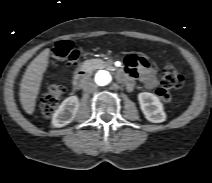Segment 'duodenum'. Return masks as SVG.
Here are the masks:
<instances>
[{"label":"duodenum","mask_w":212,"mask_h":183,"mask_svg":"<svg viewBox=\"0 0 212 183\" xmlns=\"http://www.w3.org/2000/svg\"><path fill=\"white\" fill-rule=\"evenodd\" d=\"M89 73L90 72L87 67L80 69L74 76V79H73L74 87L77 89L82 88L89 76Z\"/></svg>","instance_id":"410a0bca"}]
</instances>
